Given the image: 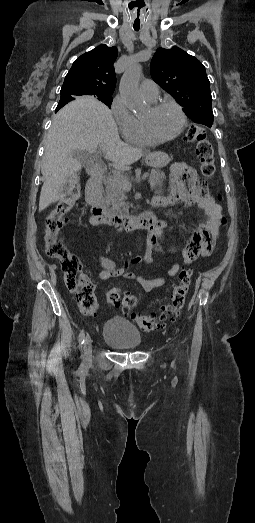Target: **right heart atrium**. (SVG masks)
Instances as JSON below:
<instances>
[{"label":"right heart atrium","instance_id":"d8ad5b80","mask_svg":"<svg viewBox=\"0 0 255 523\" xmlns=\"http://www.w3.org/2000/svg\"><path fill=\"white\" fill-rule=\"evenodd\" d=\"M110 113L118 131L124 135L129 126L131 113L128 111L125 102L120 94L116 95L110 104Z\"/></svg>","mask_w":255,"mask_h":523}]
</instances>
